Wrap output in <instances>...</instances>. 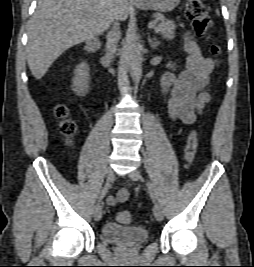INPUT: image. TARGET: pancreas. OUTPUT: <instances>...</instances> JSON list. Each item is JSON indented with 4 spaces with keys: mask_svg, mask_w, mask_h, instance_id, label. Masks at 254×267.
Here are the masks:
<instances>
[{
    "mask_svg": "<svg viewBox=\"0 0 254 267\" xmlns=\"http://www.w3.org/2000/svg\"><path fill=\"white\" fill-rule=\"evenodd\" d=\"M154 21L158 24L154 27L156 33L161 34L165 39H173L175 37L176 25L171 20H165L162 14H154Z\"/></svg>",
    "mask_w": 254,
    "mask_h": 267,
    "instance_id": "obj_1",
    "label": "pancreas"
}]
</instances>
